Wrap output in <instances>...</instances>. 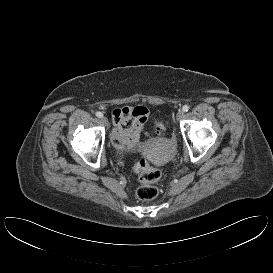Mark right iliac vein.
Instances as JSON below:
<instances>
[{
	"label": "right iliac vein",
	"mask_w": 273,
	"mask_h": 273,
	"mask_svg": "<svg viewBox=\"0 0 273 273\" xmlns=\"http://www.w3.org/2000/svg\"><path fill=\"white\" fill-rule=\"evenodd\" d=\"M101 121H102V123L105 125V126H108V120H107V118L106 117H102L101 118Z\"/></svg>",
	"instance_id": "right-iliac-vein-1"
}]
</instances>
